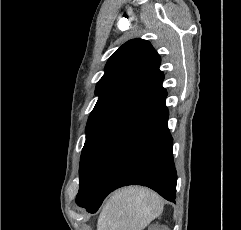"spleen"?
I'll return each mask as SVG.
<instances>
[{
	"instance_id": "1",
	"label": "spleen",
	"mask_w": 241,
	"mask_h": 230,
	"mask_svg": "<svg viewBox=\"0 0 241 230\" xmlns=\"http://www.w3.org/2000/svg\"><path fill=\"white\" fill-rule=\"evenodd\" d=\"M163 210L161 197L143 187L113 193L98 218L97 230H142Z\"/></svg>"
}]
</instances>
